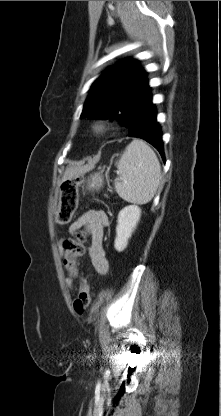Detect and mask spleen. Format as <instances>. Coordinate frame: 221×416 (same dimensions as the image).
<instances>
[{
  "label": "spleen",
  "instance_id": "obj_1",
  "mask_svg": "<svg viewBox=\"0 0 221 416\" xmlns=\"http://www.w3.org/2000/svg\"><path fill=\"white\" fill-rule=\"evenodd\" d=\"M119 177L114 187L127 202L151 201L161 181V167L155 152L144 141L134 139L116 162Z\"/></svg>",
  "mask_w": 221,
  "mask_h": 416
}]
</instances>
